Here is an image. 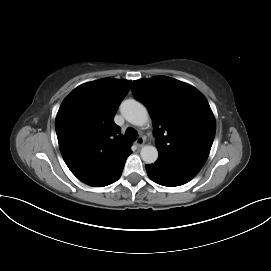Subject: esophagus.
<instances>
[{
  "label": "esophagus",
  "mask_w": 271,
  "mask_h": 271,
  "mask_svg": "<svg viewBox=\"0 0 271 271\" xmlns=\"http://www.w3.org/2000/svg\"><path fill=\"white\" fill-rule=\"evenodd\" d=\"M144 143H145V138H144V137H139V138L136 140V142H135V144H136L138 147H142V146L144 145Z\"/></svg>",
  "instance_id": "obj_1"
}]
</instances>
